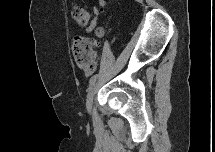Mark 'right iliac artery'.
Returning a JSON list of instances; mask_svg holds the SVG:
<instances>
[{"mask_svg": "<svg viewBox=\"0 0 215 152\" xmlns=\"http://www.w3.org/2000/svg\"><path fill=\"white\" fill-rule=\"evenodd\" d=\"M97 76L98 75L96 74V75H94V76L91 77V79L89 81V89H91L92 85L96 82Z\"/></svg>", "mask_w": 215, "mask_h": 152, "instance_id": "obj_1", "label": "right iliac artery"}]
</instances>
